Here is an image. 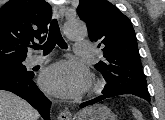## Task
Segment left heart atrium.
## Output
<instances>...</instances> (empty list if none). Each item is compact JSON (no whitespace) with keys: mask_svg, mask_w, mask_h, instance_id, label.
<instances>
[{"mask_svg":"<svg viewBox=\"0 0 165 120\" xmlns=\"http://www.w3.org/2000/svg\"><path fill=\"white\" fill-rule=\"evenodd\" d=\"M40 84L53 95L74 98L88 89L90 75L87 68L79 63L60 61L42 72Z\"/></svg>","mask_w":165,"mask_h":120,"instance_id":"obj_1","label":"left heart atrium"}]
</instances>
